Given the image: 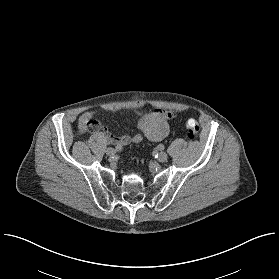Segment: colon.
<instances>
[{
  "label": "colon",
  "instance_id": "5ec220e1",
  "mask_svg": "<svg viewBox=\"0 0 279 279\" xmlns=\"http://www.w3.org/2000/svg\"><path fill=\"white\" fill-rule=\"evenodd\" d=\"M185 127L188 134L191 137L196 136L197 133L199 132V124L196 119L193 118L187 119L185 122ZM87 131H91V128L89 126H87L84 130H81V132H87Z\"/></svg>",
  "mask_w": 279,
  "mask_h": 279
}]
</instances>
